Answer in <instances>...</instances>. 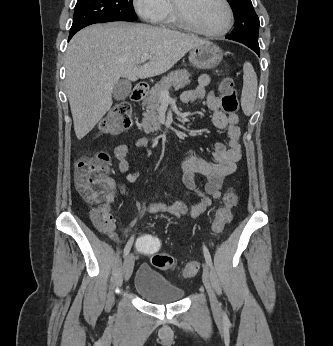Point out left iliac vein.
Segmentation results:
<instances>
[{"label":"left iliac vein","mask_w":333,"mask_h":346,"mask_svg":"<svg viewBox=\"0 0 333 346\" xmlns=\"http://www.w3.org/2000/svg\"><path fill=\"white\" fill-rule=\"evenodd\" d=\"M202 277H203V283H204V285L207 289L208 295H209L211 308L215 314L219 315L221 312V307H220V303H219V301L215 295V292L212 288V285H211L210 270H209V267L207 266V264H203Z\"/></svg>","instance_id":"4c4485c4"}]
</instances>
